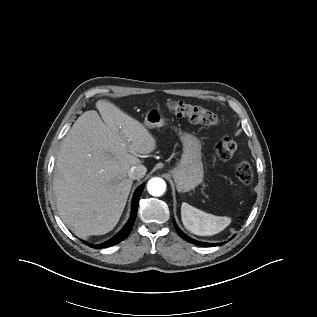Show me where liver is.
<instances>
[{"mask_svg": "<svg viewBox=\"0 0 317 317\" xmlns=\"http://www.w3.org/2000/svg\"><path fill=\"white\" fill-rule=\"evenodd\" d=\"M82 114L64 138L56 159L53 189L62 221L76 236L103 235L119 222L140 165L136 154L156 149L142 123L114 103L100 99Z\"/></svg>", "mask_w": 317, "mask_h": 317, "instance_id": "liver-1", "label": "liver"}]
</instances>
